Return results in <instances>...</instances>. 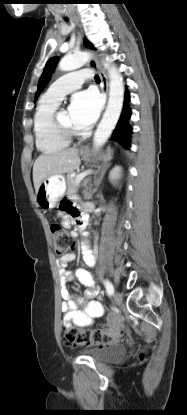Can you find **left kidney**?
<instances>
[{
  "label": "left kidney",
  "instance_id": "obj_1",
  "mask_svg": "<svg viewBox=\"0 0 187 415\" xmlns=\"http://www.w3.org/2000/svg\"><path fill=\"white\" fill-rule=\"evenodd\" d=\"M120 176H121V167L116 166L110 171L109 179L115 183L120 178Z\"/></svg>",
  "mask_w": 187,
  "mask_h": 415
}]
</instances>
